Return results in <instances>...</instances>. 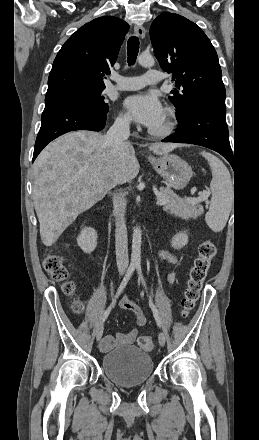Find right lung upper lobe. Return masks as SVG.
<instances>
[{"instance_id": "1", "label": "right lung upper lobe", "mask_w": 259, "mask_h": 440, "mask_svg": "<svg viewBox=\"0 0 259 440\" xmlns=\"http://www.w3.org/2000/svg\"><path fill=\"white\" fill-rule=\"evenodd\" d=\"M129 25L113 16L92 20L78 29L58 52L46 94L75 88H105Z\"/></svg>"}]
</instances>
